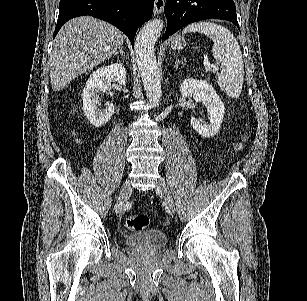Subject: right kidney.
<instances>
[{"label": "right kidney", "mask_w": 307, "mask_h": 301, "mask_svg": "<svg viewBox=\"0 0 307 301\" xmlns=\"http://www.w3.org/2000/svg\"><path fill=\"white\" fill-rule=\"evenodd\" d=\"M127 80L126 68L122 62H114L108 66H100L91 72L82 92L83 112L93 126H103L114 114V104H106V108H98L102 92L109 90L116 82L118 86Z\"/></svg>", "instance_id": "right-kidney-1"}]
</instances>
